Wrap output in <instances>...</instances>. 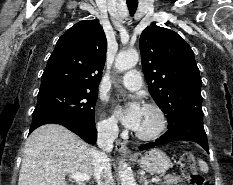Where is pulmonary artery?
<instances>
[{"mask_svg":"<svg viewBox=\"0 0 233 185\" xmlns=\"http://www.w3.org/2000/svg\"><path fill=\"white\" fill-rule=\"evenodd\" d=\"M120 83L129 90H138L143 85V79L139 70L132 69L123 74Z\"/></svg>","mask_w":233,"mask_h":185,"instance_id":"obj_1","label":"pulmonary artery"}]
</instances>
